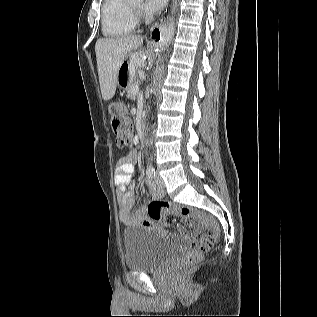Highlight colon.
Returning <instances> with one entry per match:
<instances>
[{"mask_svg": "<svg viewBox=\"0 0 317 317\" xmlns=\"http://www.w3.org/2000/svg\"><path fill=\"white\" fill-rule=\"evenodd\" d=\"M110 124L119 147H128L132 143L131 123L126 112V107L121 101H113L108 107ZM148 216L159 221L165 214L171 213L181 216L187 221L194 218L203 220L206 224L199 239L190 243L188 250L176 263L178 271H186L201 261L203 255L208 252L218 241V228L216 223L203 213L191 208L180 206L170 201H152L147 207Z\"/></svg>", "mask_w": 317, "mask_h": 317, "instance_id": "colon-1", "label": "colon"}]
</instances>
